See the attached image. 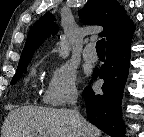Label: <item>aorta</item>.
I'll return each mask as SVG.
<instances>
[{
	"label": "aorta",
	"instance_id": "762f6f07",
	"mask_svg": "<svg viewBox=\"0 0 144 137\" xmlns=\"http://www.w3.org/2000/svg\"><path fill=\"white\" fill-rule=\"evenodd\" d=\"M58 45H59V56L62 58H67L70 51L67 39L65 38L61 39Z\"/></svg>",
	"mask_w": 144,
	"mask_h": 137
}]
</instances>
